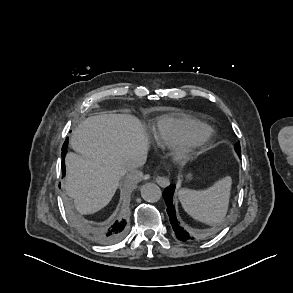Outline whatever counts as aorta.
Masks as SVG:
<instances>
[{"label":"aorta","mask_w":293,"mask_h":293,"mask_svg":"<svg viewBox=\"0 0 293 293\" xmlns=\"http://www.w3.org/2000/svg\"><path fill=\"white\" fill-rule=\"evenodd\" d=\"M141 196L147 202H157L161 198V189L155 183H146L141 187Z\"/></svg>","instance_id":"obj_1"}]
</instances>
